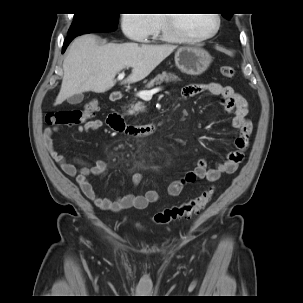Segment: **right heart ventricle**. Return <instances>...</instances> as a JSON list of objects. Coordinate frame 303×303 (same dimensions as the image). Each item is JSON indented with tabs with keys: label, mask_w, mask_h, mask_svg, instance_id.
<instances>
[{
	"label": "right heart ventricle",
	"mask_w": 303,
	"mask_h": 303,
	"mask_svg": "<svg viewBox=\"0 0 303 303\" xmlns=\"http://www.w3.org/2000/svg\"><path fill=\"white\" fill-rule=\"evenodd\" d=\"M155 19L157 20L158 26L157 29L152 33L151 37L153 38H163L168 41H177L174 37H172L165 28V21L163 15H154Z\"/></svg>",
	"instance_id": "1"
}]
</instances>
